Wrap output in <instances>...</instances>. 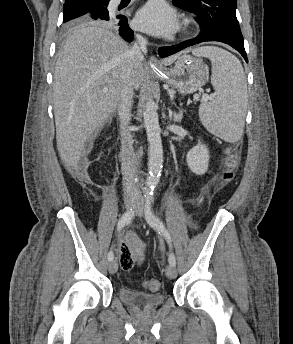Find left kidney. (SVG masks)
I'll use <instances>...</instances> for the list:
<instances>
[{"instance_id":"left-kidney-1","label":"left kidney","mask_w":293,"mask_h":344,"mask_svg":"<svg viewBox=\"0 0 293 344\" xmlns=\"http://www.w3.org/2000/svg\"><path fill=\"white\" fill-rule=\"evenodd\" d=\"M209 158L208 148L206 145L202 144L200 140L196 146L188 151L186 155L187 165L196 175H203L207 172Z\"/></svg>"}]
</instances>
